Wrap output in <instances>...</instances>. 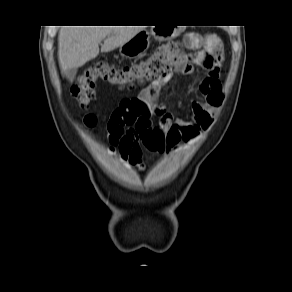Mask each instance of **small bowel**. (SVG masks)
<instances>
[{"mask_svg":"<svg viewBox=\"0 0 292 292\" xmlns=\"http://www.w3.org/2000/svg\"><path fill=\"white\" fill-rule=\"evenodd\" d=\"M197 47L204 50L197 58V63L206 71L201 85V91L205 100H193L191 102L192 120H176L174 116L162 107L157 119L156 126L163 135L162 153H174L180 149V142L194 141L199 135L208 129L214 121V115L219 109L222 100V85L219 73L223 62V52L220 41L215 37L200 38ZM186 71L187 68H179ZM171 78V74L158 82L161 89ZM123 161L138 169L143 168V144L141 131L136 126L129 127L118 143Z\"/></svg>","mask_w":292,"mask_h":292,"instance_id":"c3829d8e","label":"small bowel"}]
</instances>
